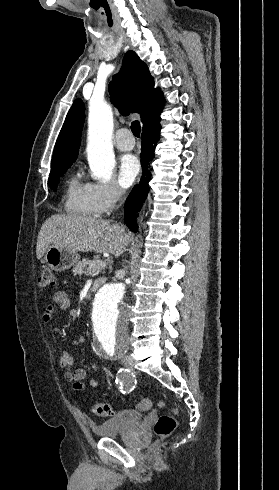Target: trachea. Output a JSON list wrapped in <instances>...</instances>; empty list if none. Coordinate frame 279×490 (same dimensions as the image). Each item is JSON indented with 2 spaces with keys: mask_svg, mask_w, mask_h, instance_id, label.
Wrapping results in <instances>:
<instances>
[{
  "mask_svg": "<svg viewBox=\"0 0 279 490\" xmlns=\"http://www.w3.org/2000/svg\"><path fill=\"white\" fill-rule=\"evenodd\" d=\"M131 131L133 133V135H135V137H140V122L135 120L134 122H132L131 124Z\"/></svg>",
  "mask_w": 279,
  "mask_h": 490,
  "instance_id": "trachea-1",
  "label": "trachea"
}]
</instances>
